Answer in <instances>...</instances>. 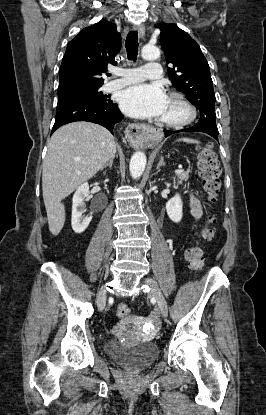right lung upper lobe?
<instances>
[{"label":"right lung upper lobe","instance_id":"obj_1","mask_svg":"<svg viewBox=\"0 0 266 415\" xmlns=\"http://www.w3.org/2000/svg\"><path fill=\"white\" fill-rule=\"evenodd\" d=\"M121 35L106 20L84 28L69 42L59 71L58 93L103 85L107 65H116Z\"/></svg>","mask_w":266,"mask_h":415}]
</instances>
